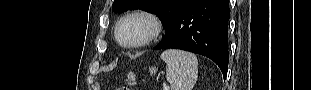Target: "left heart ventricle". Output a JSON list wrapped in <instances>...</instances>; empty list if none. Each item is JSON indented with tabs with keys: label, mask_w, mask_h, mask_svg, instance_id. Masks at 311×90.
<instances>
[{
	"label": "left heart ventricle",
	"mask_w": 311,
	"mask_h": 90,
	"mask_svg": "<svg viewBox=\"0 0 311 90\" xmlns=\"http://www.w3.org/2000/svg\"><path fill=\"white\" fill-rule=\"evenodd\" d=\"M148 31L146 22L142 20H129L120 28V38L123 41L130 42L142 38Z\"/></svg>",
	"instance_id": "obj_1"
}]
</instances>
